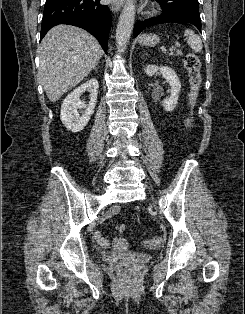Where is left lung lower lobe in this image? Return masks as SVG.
I'll return each instance as SVG.
<instances>
[{
	"label": "left lung lower lobe",
	"instance_id": "obj_1",
	"mask_svg": "<svg viewBox=\"0 0 245 314\" xmlns=\"http://www.w3.org/2000/svg\"><path fill=\"white\" fill-rule=\"evenodd\" d=\"M160 3L163 13L155 18L147 19L145 21H138L134 25V37L141 33L146 27L162 24V23H182L188 22L195 25L199 31H201V19L200 14L188 10H179L175 12H169L164 0H156Z\"/></svg>",
	"mask_w": 245,
	"mask_h": 314
}]
</instances>
